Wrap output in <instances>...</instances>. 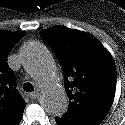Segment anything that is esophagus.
Wrapping results in <instances>:
<instances>
[{
  "mask_svg": "<svg viewBox=\"0 0 125 125\" xmlns=\"http://www.w3.org/2000/svg\"><path fill=\"white\" fill-rule=\"evenodd\" d=\"M39 96V92L38 91H34L32 93L29 94L30 99L34 100Z\"/></svg>",
  "mask_w": 125,
  "mask_h": 125,
  "instance_id": "obj_1",
  "label": "esophagus"
}]
</instances>
